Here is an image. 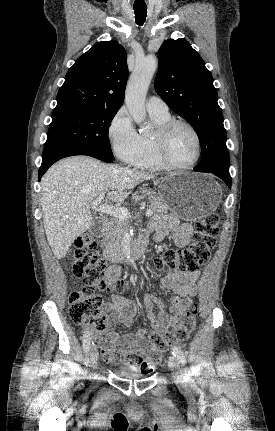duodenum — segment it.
Listing matches in <instances>:
<instances>
[{
	"label": "duodenum",
	"instance_id": "obj_1",
	"mask_svg": "<svg viewBox=\"0 0 275 431\" xmlns=\"http://www.w3.org/2000/svg\"><path fill=\"white\" fill-rule=\"evenodd\" d=\"M107 227H108V221L105 219H101L99 221V230L102 232ZM147 246H148V238L147 237H142V238L137 239L134 242L133 247H132L131 258L132 259H138L139 257H141L144 254ZM105 254H106L107 259L111 262H121V261L126 259L125 254L122 253L118 248H116L114 246L107 247Z\"/></svg>",
	"mask_w": 275,
	"mask_h": 431
}]
</instances>
